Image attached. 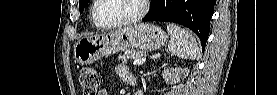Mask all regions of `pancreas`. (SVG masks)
<instances>
[{
    "instance_id": "1",
    "label": "pancreas",
    "mask_w": 277,
    "mask_h": 95,
    "mask_svg": "<svg viewBox=\"0 0 277 95\" xmlns=\"http://www.w3.org/2000/svg\"><path fill=\"white\" fill-rule=\"evenodd\" d=\"M145 52L137 50H126L123 54L118 56L119 60H122L123 63L128 62L129 60H135L143 56Z\"/></svg>"
}]
</instances>
